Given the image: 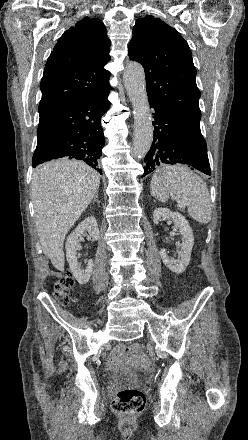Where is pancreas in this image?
<instances>
[{
    "label": "pancreas",
    "mask_w": 248,
    "mask_h": 440,
    "mask_svg": "<svg viewBox=\"0 0 248 440\" xmlns=\"http://www.w3.org/2000/svg\"><path fill=\"white\" fill-rule=\"evenodd\" d=\"M180 210H184V208H183V207H181V208H180Z\"/></svg>",
    "instance_id": "cf45deb5"
}]
</instances>
